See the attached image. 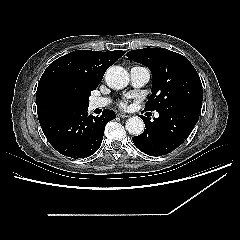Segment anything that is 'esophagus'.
<instances>
[{
  "instance_id": "34e87169",
  "label": "esophagus",
  "mask_w": 240,
  "mask_h": 240,
  "mask_svg": "<svg viewBox=\"0 0 240 240\" xmlns=\"http://www.w3.org/2000/svg\"><path fill=\"white\" fill-rule=\"evenodd\" d=\"M118 117H120V118H128L129 115L128 114H124V113H119Z\"/></svg>"
}]
</instances>
